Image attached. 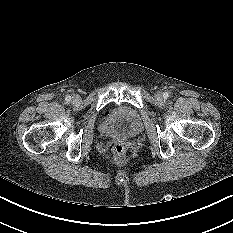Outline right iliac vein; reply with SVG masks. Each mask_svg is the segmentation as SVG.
I'll list each match as a JSON object with an SVG mask.
<instances>
[{"instance_id": "right-iliac-vein-1", "label": "right iliac vein", "mask_w": 233, "mask_h": 233, "mask_svg": "<svg viewBox=\"0 0 233 233\" xmlns=\"http://www.w3.org/2000/svg\"><path fill=\"white\" fill-rule=\"evenodd\" d=\"M73 100H74L75 102H78V101H79V96H78V95H74V96H73Z\"/></svg>"}]
</instances>
